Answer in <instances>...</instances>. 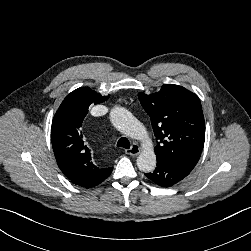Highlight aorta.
<instances>
[{
    "label": "aorta",
    "mask_w": 251,
    "mask_h": 251,
    "mask_svg": "<svg viewBox=\"0 0 251 251\" xmlns=\"http://www.w3.org/2000/svg\"><path fill=\"white\" fill-rule=\"evenodd\" d=\"M110 120L117 130L143 142L144 150L137 157V166L140 171L152 172L157 161L146 128L127 109L121 107L112 109Z\"/></svg>",
    "instance_id": "obj_1"
}]
</instances>
